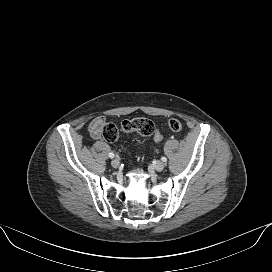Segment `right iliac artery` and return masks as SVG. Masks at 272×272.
<instances>
[{
    "label": "right iliac artery",
    "instance_id": "right-iliac-artery-1",
    "mask_svg": "<svg viewBox=\"0 0 272 272\" xmlns=\"http://www.w3.org/2000/svg\"><path fill=\"white\" fill-rule=\"evenodd\" d=\"M114 156H115V155H114L113 152H110V153H109V157H110V158H114Z\"/></svg>",
    "mask_w": 272,
    "mask_h": 272
}]
</instances>
